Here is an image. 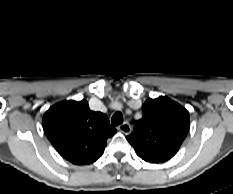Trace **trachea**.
<instances>
[{"instance_id":"obj_1","label":"trachea","mask_w":233,"mask_h":194,"mask_svg":"<svg viewBox=\"0 0 233 194\" xmlns=\"http://www.w3.org/2000/svg\"><path fill=\"white\" fill-rule=\"evenodd\" d=\"M123 123V115L121 112H116L115 114H113L112 118H111V124L113 126H117L119 124Z\"/></svg>"}]
</instances>
